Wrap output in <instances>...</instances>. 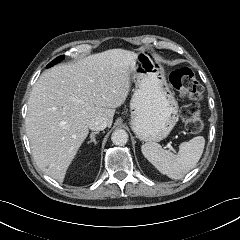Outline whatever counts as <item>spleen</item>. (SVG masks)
I'll return each instance as SVG.
<instances>
[{
  "label": "spleen",
  "mask_w": 240,
  "mask_h": 240,
  "mask_svg": "<svg viewBox=\"0 0 240 240\" xmlns=\"http://www.w3.org/2000/svg\"><path fill=\"white\" fill-rule=\"evenodd\" d=\"M205 145L203 136H197L179 146L177 154L164 150L155 142L142 145L144 157L162 174L171 179H181L192 170L200 160Z\"/></svg>",
  "instance_id": "1"
}]
</instances>
